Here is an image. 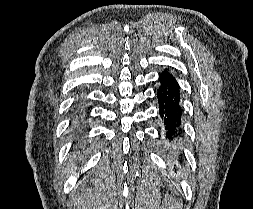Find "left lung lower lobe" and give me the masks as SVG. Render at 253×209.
<instances>
[{
	"label": "left lung lower lobe",
	"mask_w": 253,
	"mask_h": 209,
	"mask_svg": "<svg viewBox=\"0 0 253 209\" xmlns=\"http://www.w3.org/2000/svg\"><path fill=\"white\" fill-rule=\"evenodd\" d=\"M160 87L157 89L159 114L166 130V138L173 142L182 136L180 91L175 78L165 69L159 75Z\"/></svg>",
	"instance_id": "left-lung-lower-lobe-1"
}]
</instances>
